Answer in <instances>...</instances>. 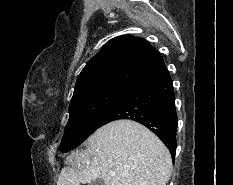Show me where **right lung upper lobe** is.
<instances>
[{
	"mask_svg": "<svg viewBox=\"0 0 233 185\" xmlns=\"http://www.w3.org/2000/svg\"><path fill=\"white\" fill-rule=\"evenodd\" d=\"M165 68L162 57L146 40L119 36L110 40L83 68L72 98L108 87L131 90Z\"/></svg>",
	"mask_w": 233,
	"mask_h": 185,
	"instance_id": "right-lung-upper-lobe-1",
	"label": "right lung upper lobe"
}]
</instances>
